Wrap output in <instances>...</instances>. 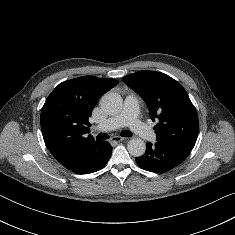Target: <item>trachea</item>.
<instances>
[{"label": "trachea", "instance_id": "obj_1", "mask_svg": "<svg viewBox=\"0 0 235 235\" xmlns=\"http://www.w3.org/2000/svg\"><path fill=\"white\" fill-rule=\"evenodd\" d=\"M121 136L122 137H131L132 133L129 130H124L121 132ZM109 138V135L106 133H99L96 137V140L100 141V140H106Z\"/></svg>", "mask_w": 235, "mask_h": 235}]
</instances>
